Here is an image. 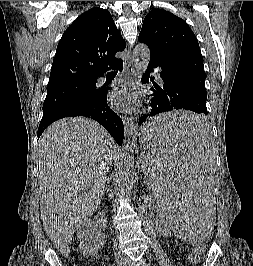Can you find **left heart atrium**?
<instances>
[{
  "instance_id": "left-heart-atrium-1",
  "label": "left heart atrium",
  "mask_w": 253,
  "mask_h": 266,
  "mask_svg": "<svg viewBox=\"0 0 253 266\" xmlns=\"http://www.w3.org/2000/svg\"><path fill=\"white\" fill-rule=\"evenodd\" d=\"M109 101L118 110L131 112L139 105V95L131 85L115 88L109 94Z\"/></svg>"
}]
</instances>
